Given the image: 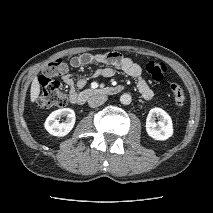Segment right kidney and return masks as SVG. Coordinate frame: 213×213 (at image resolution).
<instances>
[{"label":"right kidney","mask_w":213,"mask_h":213,"mask_svg":"<svg viewBox=\"0 0 213 213\" xmlns=\"http://www.w3.org/2000/svg\"><path fill=\"white\" fill-rule=\"evenodd\" d=\"M61 116H66V121L60 123ZM76 116L74 110L70 108H62L53 111L44 123L45 129L53 136H65L74 127Z\"/></svg>","instance_id":"obj_1"}]
</instances>
